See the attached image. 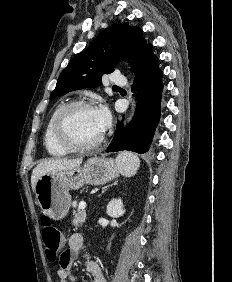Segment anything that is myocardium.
<instances>
[{
    "mask_svg": "<svg viewBox=\"0 0 232 282\" xmlns=\"http://www.w3.org/2000/svg\"><path fill=\"white\" fill-rule=\"evenodd\" d=\"M75 108H93L95 109L94 104L87 100H74V101H70L64 104L60 108V110L58 111L54 119L53 128H52L53 137L60 146L67 149L68 151L82 152V151L93 150L103 143L105 139L104 132L101 134V136L97 140L89 144H77L71 141L64 133L63 126H64V121L66 119V116L68 115V113L71 110Z\"/></svg>",
    "mask_w": 232,
    "mask_h": 282,
    "instance_id": "1",
    "label": "myocardium"
}]
</instances>
